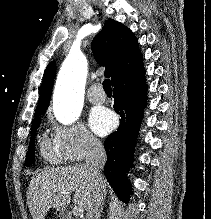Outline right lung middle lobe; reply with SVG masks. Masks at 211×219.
I'll use <instances>...</instances> for the list:
<instances>
[{
	"instance_id": "dd1d6c3e",
	"label": "right lung middle lobe",
	"mask_w": 211,
	"mask_h": 219,
	"mask_svg": "<svg viewBox=\"0 0 211 219\" xmlns=\"http://www.w3.org/2000/svg\"><path fill=\"white\" fill-rule=\"evenodd\" d=\"M42 114L36 115V116H40ZM41 123V119L39 117H36L33 121H32V126H31V141H30V146H29V150L27 152V156H26V160H25V165L26 166H30L34 160H35V151H34V137H35V133L37 131V128L39 127Z\"/></svg>"
}]
</instances>
